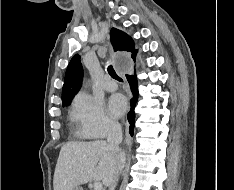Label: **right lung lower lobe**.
<instances>
[{
	"mask_svg": "<svg viewBox=\"0 0 234 190\" xmlns=\"http://www.w3.org/2000/svg\"><path fill=\"white\" fill-rule=\"evenodd\" d=\"M126 78L130 84L131 91L133 93V98L130 100L131 102V109L128 113V121H129V133L133 135L134 130V122H135V104L138 100V85H137V78L136 75H126Z\"/></svg>",
	"mask_w": 234,
	"mask_h": 190,
	"instance_id": "1",
	"label": "right lung lower lobe"
}]
</instances>
